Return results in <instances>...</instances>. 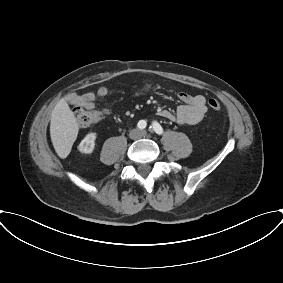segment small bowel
<instances>
[{"mask_svg":"<svg viewBox=\"0 0 283 283\" xmlns=\"http://www.w3.org/2000/svg\"><path fill=\"white\" fill-rule=\"evenodd\" d=\"M144 91H146V88L137 92V95H141ZM108 93V88L101 86L96 92L88 91L82 95H73L71 100L75 104L92 108L98 98H104ZM178 98L182 104L177 107L175 113L170 110L162 109L158 112L159 116L183 125H195L199 123L207 110L205 97L203 95H192L186 92H180ZM99 114L107 116L110 114V110L103 108L100 110Z\"/></svg>","mask_w":283,"mask_h":283,"instance_id":"c3829d8e","label":"small bowel"}]
</instances>
